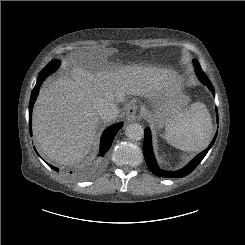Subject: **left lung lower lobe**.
<instances>
[{"instance_id":"left-lung-lower-lobe-1","label":"left lung lower lobe","mask_w":245,"mask_h":245,"mask_svg":"<svg viewBox=\"0 0 245 245\" xmlns=\"http://www.w3.org/2000/svg\"><path fill=\"white\" fill-rule=\"evenodd\" d=\"M202 81V83H204L205 85L208 86V88L210 89V91H212L213 95L215 96V90L209 80L208 77H203L202 79H200ZM217 111V108H216ZM217 116V123H218V113L216 114ZM217 133L215 134L212 142L210 143V145L207 147V149H205L204 151H202L200 154H198L190 163H188L184 168L178 170V171H174V172H169V171H164L161 170L155 160L154 154H153V150H152V144H151V134H150V130L149 128L145 129V138H144V143H143V153H144V157H145V161L146 164L149 168V170L159 176V177H167V178H180V177H184L188 174H190L196 167L197 165L203 160V158L205 157V155L207 154V152L209 151V149L212 147V145L215 142V139L217 137Z\"/></svg>"}]
</instances>
